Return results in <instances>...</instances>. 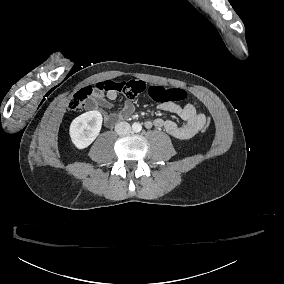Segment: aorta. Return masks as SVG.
I'll return each instance as SVG.
<instances>
[{
	"label": "aorta",
	"instance_id": "762f6f07",
	"mask_svg": "<svg viewBox=\"0 0 284 284\" xmlns=\"http://www.w3.org/2000/svg\"><path fill=\"white\" fill-rule=\"evenodd\" d=\"M132 130L134 131V132H140L141 130H142V126H141V124L140 123H133V125H132Z\"/></svg>",
	"mask_w": 284,
	"mask_h": 284
}]
</instances>
